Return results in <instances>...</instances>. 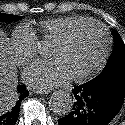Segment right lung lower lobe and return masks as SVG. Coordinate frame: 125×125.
Segmentation results:
<instances>
[{"label": "right lung lower lobe", "mask_w": 125, "mask_h": 125, "mask_svg": "<svg viewBox=\"0 0 125 125\" xmlns=\"http://www.w3.org/2000/svg\"><path fill=\"white\" fill-rule=\"evenodd\" d=\"M17 92L19 95V100L15 103L9 105L2 114H0V125H15L18 120V115L20 111V100L26 98L29 94L28 90L24 85H19L17 87Z\"/></svg>", "instance_id": "obj_1"}]
</instances>
